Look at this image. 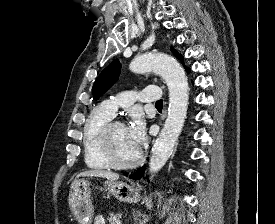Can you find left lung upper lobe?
<instances>
[{"mask_svg": "<svg viewBox=\"0 0 275 224\" xmlns=\"http://www.w3.org/2000/svg\"><path fill=\"white\" fill-rule=\"evenodd\" d=\"M176 57L183 59L176 51L171 49ZM188 71L189 68L184 66ZM121 70V64L118 59L113 60L99 75L93 86V98L99 99L108 89L117 81Z\"/></svg>", "mask_w": 275, "mask_h": 224, "instance_id": "left-lung-upper-lobe-1", "label": "left lung upper lobe"}]
</instances>
